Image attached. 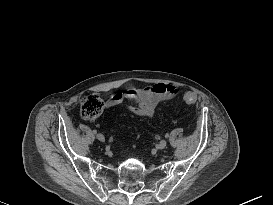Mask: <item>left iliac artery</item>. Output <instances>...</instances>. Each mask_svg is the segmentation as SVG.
<instances>
[{
    "label": "left iliac artery",
    "mask_w": 273,
    "mask_h": 205,
    "mask_svg": "<svg viewBox=\"0 0 273 205\" xmlns=\"http://www.w3.org/2000/svg\"><path fill=\"white\" fill-rule=\"evenodd\" d=\"M165 137L168 138V137H169V134L167 133V134L165 135Z\"/></svg>",
    "instance_id": "obj_1"
}]
</instances>
